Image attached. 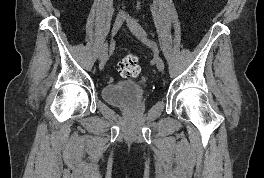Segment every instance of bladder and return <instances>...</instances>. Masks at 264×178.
<instances>
[{
  "label": "bladder",
  "instance_id": "1",
  "mask_svg": "<svg viewBox=\"0 0 264 178\" xmlns=\"http://www.w3.org/2000/svg\"><path fill=\"white\" fill-rule=\"evenodd\" d=\"M144 86L129 79L118 81L104 86L102 97L104 101L116 107H134L144 98Z\"/></svg>",
  "mask_w": 264,
  "mask_h": 178
}]
</instances>
